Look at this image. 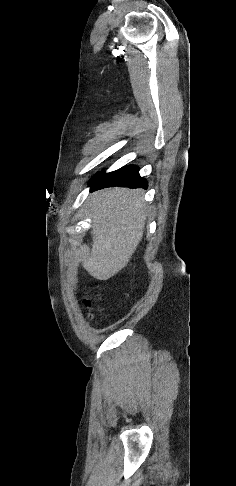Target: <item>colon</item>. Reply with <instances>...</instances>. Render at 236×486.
<instances>
[{"instance_id":"5ec220e1","label":"colon","mask_w":236,"mask_h":486,"mask_svg":"<svg viewBox=\"0 0 236 486\" xmlns=\"http://www.w3.org/2000/svg\"><path fill=\"white\" fill-rule=\"evenodd\" d=\"M84 304H85L86 307H91L92 302H91L90 299H85Z\"/></svg>"}]
</instances>
